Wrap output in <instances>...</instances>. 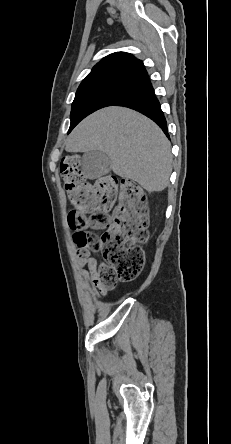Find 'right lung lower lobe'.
Listing matches in <instances>:
<instances>
[{"label": "right lung lower lobe", "instance_id": "obj_1", "mask_svg": "<svg viewBox=\"0 0 231 444\" xmlns=\"http://www.w3.org/2000/svg\"><path fill=\"white\" fill-rule=\"evenodd\" d=\"M112 105L125 106L141 112L142 114L152 119L155 123H157L166 134V136L169 137L167 131V122L150 82L132 91H129Z\"/></svg>", "mask_w": 231, "mask_h": 444}]
</instances>
